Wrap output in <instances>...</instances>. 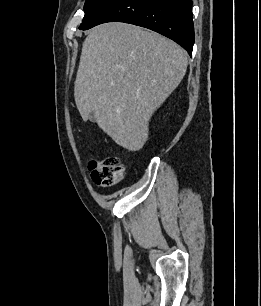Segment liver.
I'll list each match as a JSON object with an SVG mask.
<instances>
[{"instance_id": "liver-1", "label": "liver", "mask_w": 261, "mask_h": 306, "mask_svg": "<svg viewBox=\"0 0 261 306\" xmlns=\"http://www.w3.org/2000/svg\"><path fill=\"white\" fill-rule=\"evenodd\" d=\"M186 52L175 42L126 23H105L86 37L74 97L84 121L94 113L98 126L116 144L140 150L149 120L183 79Z\"/></svg>"}]
</instances>
